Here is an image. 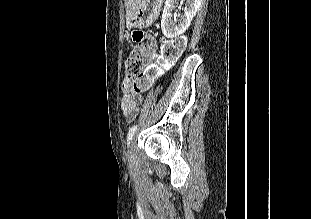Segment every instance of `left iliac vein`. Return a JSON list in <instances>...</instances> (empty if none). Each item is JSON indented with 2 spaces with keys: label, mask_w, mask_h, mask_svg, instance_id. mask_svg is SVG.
Masks as SVG:
<instances>
[{
  "label": "left iliac vein",
  "mask_w": 311,
  "mask_h": 219,
  "mask_svg": "<svg viewBox=\"0 0 311 219\" xmlns=\"http://www.w3.org/2000/svg\"><path fill=\"white\" fill-rule=\"evenodd\" d=\"M128 161L131 163L134 160V149H133V141L128 144L127 153H126Z\"/></svg>",
  "instance_id": "4c4485c4"
}]
</instances>
